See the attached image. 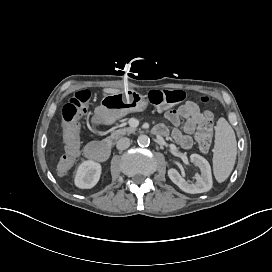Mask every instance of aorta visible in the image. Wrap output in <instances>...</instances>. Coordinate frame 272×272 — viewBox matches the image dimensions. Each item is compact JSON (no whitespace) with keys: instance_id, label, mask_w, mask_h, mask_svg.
<instances>
[{"instance_id":"aorta-1","label":"aorta","mask_w":272,"mask_h":272,"mask_svg":"<svg viewBox=\"0 0 272 272\" xmlns=\"http://www.w3.org/2000/svg\"><path fill=\"white\" fill-rule=\"evenodd\" d=\"M137 142L140 146H147L150 143V138L147 135H140Z\"/></svg>"}]
</instances>
